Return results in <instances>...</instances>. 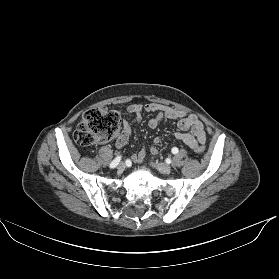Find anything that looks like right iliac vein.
<instances>
[{"instance_id": "obj_1", "label": "right iliac vein", "mask_w": 279, "mask_h": 279, "mask_svg": "<svg viewBox=\"0 0 279 279\" xmlns=\"http://www.w3.org/2000/svg\"><path fill=\"white\" fill-rule=\"evenodd\" d=\"M117 169L119 171H123L125 169V164L123 162L118 163Z\"/></svg>"}]
</instances>
